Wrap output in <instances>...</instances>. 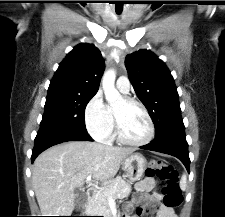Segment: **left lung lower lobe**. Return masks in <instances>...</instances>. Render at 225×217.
Segmentation results:
<instances>
[{
	"label": "left lung lower lobe",
	"instance_id": "1",
	"mask_svg": "<svg viewBox=\"0 0 225 217\" xmlns=\"http://www.w3.org/2000/svg\"><path fill=\"white\" fill-rule=\"evenodd\" d=\"M140 148L175 156L185 165L189 172L190 159L184 126L168 130Z\"/></svg>",
	"mask_w": 225,
	"mask_h": 217
}]
</instances>
